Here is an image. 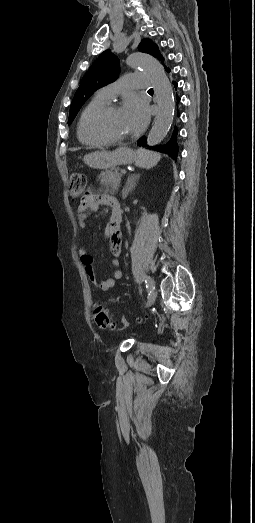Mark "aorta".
<instances>
[{"label": "aorta", "mask_w": 255, "mask_h": 523, "mask_svg": "<svg viewBox=\"0 0 255 523\" xmlns=\"http://www.w3.org/2000/svg\"><path fill=\"white\" fill-rule=\"evenodd\" d=\"M126 64L142 69L149 77L157 96L159 113L147 136L148 145H157L166 137L173 123L175 100L172 85L159 61L148 54L133 53L127 57Z\"/></svg>", "instance_id": "1"}]
</instances>
